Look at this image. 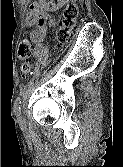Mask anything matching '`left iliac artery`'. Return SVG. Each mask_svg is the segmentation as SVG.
Returning a JSON list of instances; mask_svg holds the SVG:
<instances>
[{"mask_svg":"<svg viewBox=\"0 0 123 167\" xmlns=\"http://www.w3.org/2000/svg\"><path fill=\"white\" fill-rule=\"evenodd\" d=\"M14 113L16 116L21 114V97L18 96L14 102Z\"/></svg>","mask_w":123,"mask_h":167,"instance_id":"1","label":"left iliac artery"}]
</instances>
